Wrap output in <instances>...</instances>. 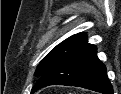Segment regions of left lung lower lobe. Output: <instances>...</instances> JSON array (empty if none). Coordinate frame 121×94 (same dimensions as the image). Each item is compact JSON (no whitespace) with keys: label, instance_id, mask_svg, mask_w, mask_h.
I'll list each match as a JSON object with an SVG mask.
<instances>
[{"label":"left lung lower lobe","instance_id":"left-lung-lower-lobe-1","mask_svg":"<svg viewBox=\"0 0 121 94\" xmlns=\"http://www.w3.org/2000/svg\"><path fill=\"white\" fill-rule=\"evenodd\" d=\"M89 43L75 50L46 71L32 88V93L49 85L77 86L103 94H113L106 67Z\"/></svg>","mask_w":121,"mask_h":94}]
</instances>
